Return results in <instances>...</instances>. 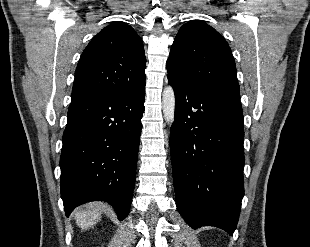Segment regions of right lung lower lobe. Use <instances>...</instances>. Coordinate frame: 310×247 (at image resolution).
<instances>
[{"mask_svg": "<svg viewBox=\"0 0 310 247\" xmlns=\"http://www.w3.org/2000/svg\"><path fill=\"white\" fill-rule=\"evenodd\" d=\"M145 86L71 101L60 157L66 216L89 201L109 202L127 217L136 178Z\"/></svg>", "mask_w": 310, "mask_h": 247, "instance_id": "98d812e1", "label": "right lung lower lobe"}]
</instances>
